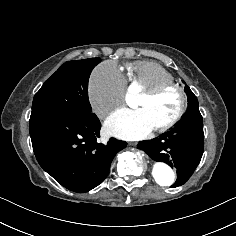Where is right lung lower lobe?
Here are the masks:
<instances>
[{
    "label": "right lung lower lobe",
    "instance_id": "98d812e1",
    "mask_svg": "<svg viewBox=\"0 0 236 236\" xmlns=\"http://www.w3.org/2000/svg\"><path fill=\"white\" fill-rule=\"evenodd\" d=\"M101 123L90 114H59L30 123L40 166L65 188L87 192L108 175L114 156L127 145L111 138L97 143Z\"/></svg>",
    "mask_w": 236,
    "mask_h": 236
}]
</instances>
